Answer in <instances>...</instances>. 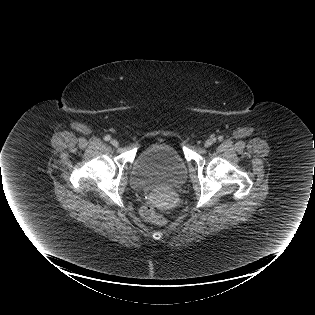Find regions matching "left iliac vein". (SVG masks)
<instances>
[{
    "instance_id": "1",
    "label": "left iliac vein",
    "mask_w": 315,
    "mask_h": 315,
    "mask_svg": "<svg viewBox=\"0 0 315 315\" xmlns=\"http://www.w3.org/2000/svg\"><path fill=\"white\" fill-rule=\"evenodd\" d=\"M212 144H213V140L208 139V140L205 141L204 146L205 147H210Z\"/></svg>"
}]
</instances>
